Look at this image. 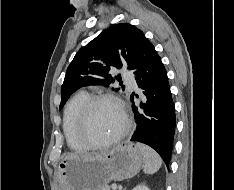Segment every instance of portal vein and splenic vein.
I'll return each mask as SVG.
<instances>
[{"instance_id":"18ae733b","label":"portal vein and splenic vein","mask_w":234,"mask_h":190,"mask_svg":"<svg viewBox=\"0 0 234 190\" xmlns=\"http://www.w3.org/2000/svg\"><path fill=\"white\" fill-rule=\"evenodd\" d=\"M112 189H113V190H116V189H117V185H116V184H113V185H112Z\"/></svg>"}]
</instances>
